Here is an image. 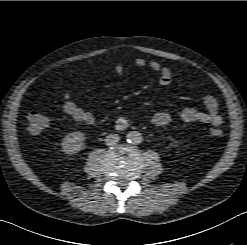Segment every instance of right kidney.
Wrapping results in <instances>:
<instances>
[{
  "instance_id": "ca27d5eb",
  "label": "right kidney",
  "mask_w": 247,
  "mask_h": 245,
  "mask_svg": "<svg viewBox=\"0 0 247 245\" xmlns=\"http://www.w3.org/2000/svg\"><path fill=\"white\" fill-rule=\"evenodd\" d=\"M85 136L81 132L68 133L62 140V149L66 154H74L84 146Z\"/></svg>"
}]
</instances>
